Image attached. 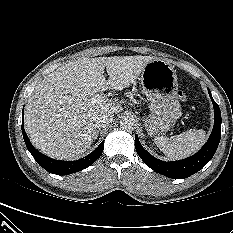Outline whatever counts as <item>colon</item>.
<instances>
[{
    "mask_svg": "<svg viewBox=\"0 0 233 233\" xmlns=\"http://www.w3.org/2000/svg\"><path fill=\"white\" fill-rule=\"evenodd\" d=\"M179 96H180V98L183 100V99H185V94L183 93V92H180L179 93Z\"/></svg>",
    "mask_w": 233,
    "mask_h": 233,
    "instance_id": "5ec220e1",
    "label": "colon"
}]
</instances>
